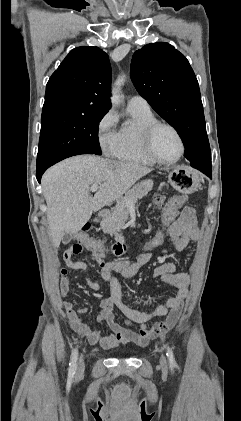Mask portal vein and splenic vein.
Wrapping results in <instances>:
<instances>
[{
	"label": "portal vein and splenic vein",
	"mask_w": 241,
	"mask_h": 421,
	"mask_svg": "<svg viewBox=\"0 0 241 421\" xmlns=\"http://www.w3.org/2000/svg\"><path fill=\"white\" fill-rule=\"evenodd\" d=\"M99 188H100V186H99V185H97V184H93V185L90 187V191H91V192H96ZM125 203H126V204H128L131 208H133V207H134V206H132V202H131V200H126V201H125Z\"/></svg>",
	"instance_id": "obj_1"
}]
</instances>
